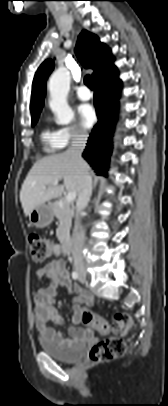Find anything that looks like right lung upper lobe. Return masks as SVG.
Instances as JSON below:
<instances>
[{
    "label": "right lung upper lobe",
    "mask_w": 168,
    "mask_h": 406,
    "mask_svg": "<svg viewBox=\"0 0 168 406\" xmlns=\"http://www.w3.org/2000/svg\"><path fill=\"white\" fill-rule=\"evenodd\" d=\"M75 51L83 66L94 70L92 74L94 82L116 69L107 46L86 30L79 35ZM53 68L54 62L48 59L41 64L34 76L30 105L32 121L38 120L44 103L46 80Z\"/></svg>",
    "instance_id": "obj_1"
}]
</instances>
